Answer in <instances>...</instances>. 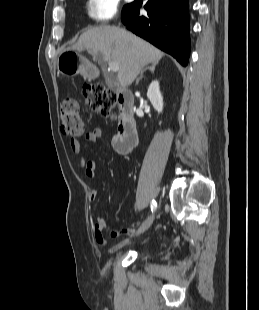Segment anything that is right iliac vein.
Segmentation results:
<instances>
[{
    "label": "right iliac vein",
    "mask_w": 259,
    "mask_h": 310,
    "mask_svg": "<svg viewBox=\"0 0 259 310\" xmlns=\"http://www.w3.org/2000/svg\"><path fill=\"white\" fill-rule=\"evenodd\" d=\"M154 221V215H151L148 217V219L140 226V228L137 231V234H141L145 232L153 223Z\"/></svg>",
    "instance_id": "obj_1"
}]
</instances>
